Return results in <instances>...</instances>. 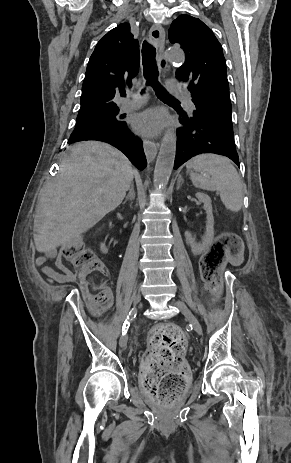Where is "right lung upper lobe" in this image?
<instances>
[{"mask_svg": "<svg viewBox=\"0 0 291 463\" xmlns=\"http://www.w3.org/2000/svg\"><path fill=\"white\" fill-rule=\"evenodd\" d=\"M139 70V43L130 25L119 24L97 43L87 65L82 85L81 107L77 118L119 110L112 101L125 92Z\"/></svg>", "mask_w": 291, "mask_h": 463, "instance_id": "1", "label": "right lung upper lobe"}]
</instances>
